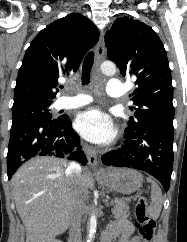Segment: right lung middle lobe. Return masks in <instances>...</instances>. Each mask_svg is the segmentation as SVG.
Instances as JSON below:
<instances>
[{
	"label": "right lung middle lobe",
	"instance_id": "1",
	"mask_svg": "<svg viewBox=\"0 0 187 242\" xmlns=\"http://www.w3.org/2000/svg\"><path fill=\"white\" fill-rule=\"evenodd\" d=\"M51 102L47 103H27L12 107V125H17L25 121H39V120H60L52 118L49 107Z\"/></svg>",
	"mask_w": 187,
	"mask_h": 242
}]
</instances>
